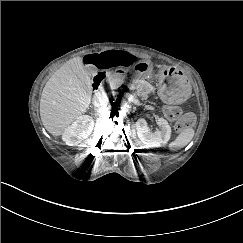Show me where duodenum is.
I'll return each instance as SVG.
<instances>
[{
	"instance_id": "duodenum-1",
	"label": "duodenum",
	"mask_w": 243,
	"mask_h": 243,
	"mask_svg": "<svg viewBox=\"0 0 243 243\" xmlns=\"http://www.w3.org/2000/svg\"><path fill=\"white\" fill-rule=\"evenodd\" d=\"M125 71L123 70H116L114 72H106V71H100L98 72L91 81V86L93 90H97L101 84V82L107 77V76H121L124 74Z\"/></svg>"
}]
</instances>
